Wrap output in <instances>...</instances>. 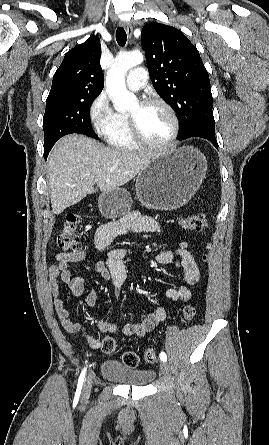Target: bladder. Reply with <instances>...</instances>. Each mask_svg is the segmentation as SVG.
Listing matches in <instances>:
<instances>
[{
  "mask_svg": "<svg viewBox=\"0 0 269 445\" xmlns=\"http://www.w3.org/2000/svg\"><path fill=\"white\" fill-rule=\"evenodd\" d=\"M100 372L103 378L131 387H145L155 378L151 369H134L117 360H107L102 363Z\"/></svg>",
  "mask_w": 269,
  "mask_h": 445,
  "instance_id": "bladder-1",
  "label": "bladder"
}]
</instances>
